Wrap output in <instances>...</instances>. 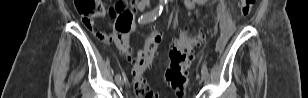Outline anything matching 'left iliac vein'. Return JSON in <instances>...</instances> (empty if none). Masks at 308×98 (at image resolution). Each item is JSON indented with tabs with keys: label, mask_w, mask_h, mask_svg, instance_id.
I'll return each instance as SVG.
<instances>
[{
	"label": "left iliac vein",
	"mask_w": 308,
	"mask_h": 98,
	"mask_svg": "<svg viewBox=\"0 0 308 98\" xmlns=\"http://www.w3.org/2000/svg\"><path fill=\"white\" fill-rule=\"evenodd\" d=\"M206 77H207V75L202 74L201 79H202V80H205V79H206Z\"/></svg>",
	"instance_id": "obj_1"
}]
</instances>
